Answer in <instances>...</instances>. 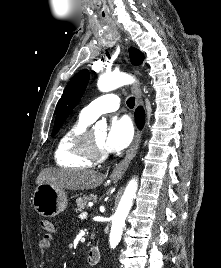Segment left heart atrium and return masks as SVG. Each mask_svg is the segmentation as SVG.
<instances>
[{"label": "left heart atrium", "instance_id": "39dd6f15", "mask_svg": "<svg viewBox=\"0 0 221 268\" xmlns=\"http://www.w3.org/2000/svg\"><path fill=\"white\" fill-rule=\"evenodd\" d=\"M133 138V126L129 118L121 117L111 120L104 139V149L108 152H118L126 148Z\"/></svg>", "mask_w": 221, "mask_h": 268}]
</instances>
